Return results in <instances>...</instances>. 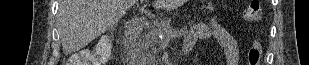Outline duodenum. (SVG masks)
Returning <instances> with one entry per match:
<instances>
[{
	"mask_svg": "<svg viewBox=\"0 0 309 65\" xmlns=\"http://www.w3.org/2000/svg\"><path fill=\"white\" fill-rule=\"evenodd\" d=\"M147 19L140 18L132 21L128 24L127 28L124 31L123 40L125 42H130L133 38H135L146 26ZM187 53L186 51H184Z\"/></svg>",
	"mask_w": 309,
	"mask_h": 65,
	"instance_id": "1",
	"label": "duodenum"
}]
</instances>
